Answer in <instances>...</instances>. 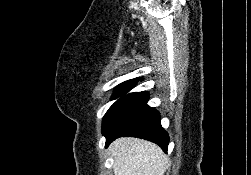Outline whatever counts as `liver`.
<instances>
[{
	"label": "liver",
	"instance_id": "obj_1",
	"mask_svg": "<svg viewBox=\"0 0 251 175\" xmlns=\"http://www.w3.org/2000/svg\"><path fill=\"white\" fill-rule=\"evenodd\" d=\"M114 175H164L168 157L161 147L138 137H118L109 147Z\"/></svg>",
	"mask_w": 251,
	"mask_h": 175
}]
</instances>
